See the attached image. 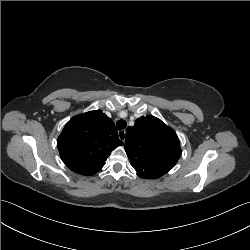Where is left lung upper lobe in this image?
I'll return each instance as SVG.
<instances>
[{
	"label": "left lung upper lobe",
	"instance_id": "obj_1",
	"mask_svg": "<svg viewBox=\"0 0 250 250\" xmlns=\"http://www.w3.org/2000/svg\"><path fill=\"white\" fill-rule=\"evenodd\" d=\"M125 150L132 167L142 178L151 172L154 178L161 177L181 156L175 131L150 115L137 119L133 127L126 129Z\"/></svg>",
	"mask_w": 250,
	"mask_h": 250
}]
</instances>
